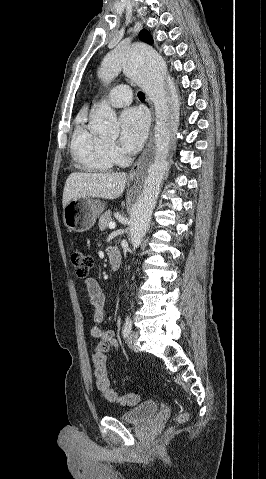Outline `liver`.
<instances>
[{"label": "liver", "mask_w": 266, "mask_h": 479, "mask_svg": "<svg viewBox=\"0 0 266 479\" xmlns=\"http://www.w3.org/2000/svg\"><path fill=\"white\" fill-rule=\"evenodd\" d=\"M126 181L125 173H71L63 190V208L80 197L116 199L122 195Z\"/></svg>", "instance_id": "obj_1"}]
</instances>
